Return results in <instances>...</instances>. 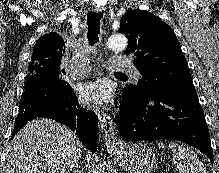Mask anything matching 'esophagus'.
Returning a JSON list of instances; mask_svg holds the SVG:
<instances>
[{
  "label": "esophagus",
  "mask_w": 219,
  "mask_h": 173,
  "mask_svg": "<svg viewBox=\"0 0 219 173\" xmlns=\"http://www.w3.org/2000/svg\"><path fill=\"white\" fill-rule=\"evenodd\" d=\"M94 11L96 12H105V7L95 6ZM100 121V131L102 133L103 139L106 142L107 146L117 145L120 142V139L116 136L114 131V124L111 116L102 112L99 116Z\"/></svg>",
  "instance_id": "obj_1"
}]
</instances>
